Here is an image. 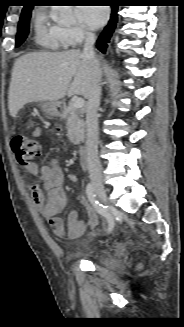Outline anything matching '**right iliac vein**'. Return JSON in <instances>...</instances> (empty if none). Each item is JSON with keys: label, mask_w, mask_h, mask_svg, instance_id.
<instances>
[{"label": "right iliac vein", "mask_w": 184, "mask_h": 327, "mask_svg": "<svg viewBox=\"0 0 184 327\" xmlns=\"http://www.w3.org/2000/svg\"><path fill=\"white\" fill-rule=\"evenodd\" d=\"M93 187L99 199L104 203H108L107 192L102 182L100 180L94 181Z\"/></svg>", "instance_id": "1"}]
</instances>
